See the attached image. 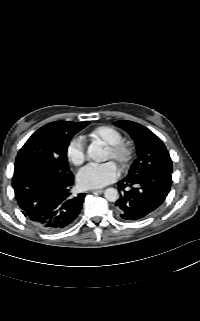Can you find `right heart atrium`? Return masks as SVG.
Instances as JSON below:
<instances>
[{"label":"right heart atrium","mask_w":200,"mask_h":321,"mask_svg":"<svg viewBox=\"0 0 200 321\" xmlns=\"http://www.w3.org/2000/svg\"><path fill=\"white\" fill-rule=\"evenodd\" d=\"M67 157L74 165L79 166L86 159V145L81 137L72 138L66 148Z\"/></svg>","instance_id":"d8ad5b80"}]
</instances>
